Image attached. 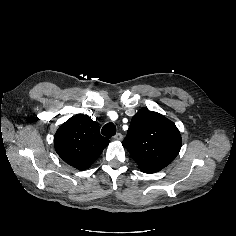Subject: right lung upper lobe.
<instances>
[{
	"label": "right lung upper lobe",
	"instance_id": "cb5924a9",
	"mask_svg": "<svg viewBox=\"0 0 236 236\" xmlns=\"http://www.w3.org/2000/svg\"><path fill=\"white\" fill-rule=\"evenodd\" d=\"M108 144L109 139L100 135L98 123L84 114L71 117L54 136L57 154L78 170L89 168Z\"/></svg>",
	"mask_w": 236,
	"mask_h": 236
}]
</instances>
